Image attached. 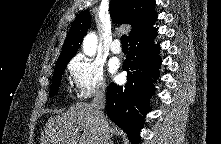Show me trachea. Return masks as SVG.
<instances>
[{"instance_id":"3493384b","label":"trachea","mask_w":221,"mask_h":144,"mask_svg":"<svg viewBox=\"0 0 221 144\" xmlns=\"http://www.w3.org/2000/svg\"><path fill=\"white\" fill-rule=\"evenodd\" d=\"M121 44H122V47H128V37L126 35H123L121 37Z\"/></svg>"}]
</instances>
